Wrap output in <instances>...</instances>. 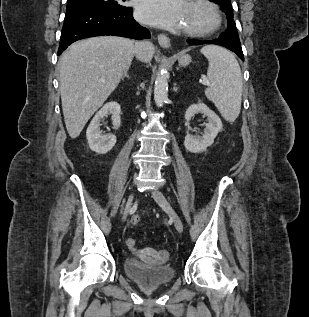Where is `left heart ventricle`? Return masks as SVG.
<instances>
[{
    "label": "left heart ventricle",
    "instance_id": "left-heart-ventricle-1",
    "mask_svg": "<svg viewBox=\"0 0 309 317\" xmlns=\"http://www.w3.org/2000/svg\"><path fill=\"white\" fill-rule=\"evenodd\" d=\"M209 21L210 17L205 10L190 4L185 19L184 28L203 27L206 26L209 23Z\"/></svg>",
    "mask_w": 309,
    "mask_h": 317
}]
</instances>
